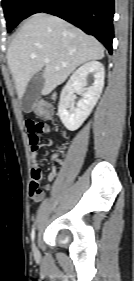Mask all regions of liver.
Listing matches in <instances>:
<instances>
[{"instance_id":"obj_1","label":"liver","mask_w":134,"mask_h":281,"mask_svg":"<svg viewBox=\"0 0 134 281\" xmlns=\"http://www.w3.org/2000/svg\"><path fill=\"white\" fill-rule=\"evenodd\" d=\"M104 57L102 44L63 19L37 13L29 17L12 40L7 62L22 99L31 78L43 70L42 95L62 84L81 64ZM49 59V63L44 60Z\"/></svg>"}]
</instances>
